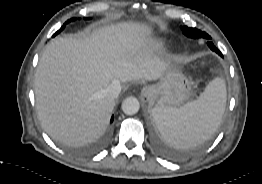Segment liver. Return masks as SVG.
Listing matches in <instances>:
<instances>
[{"instance_id":"6515ba94","label":"liver","mask_w":262,"mask_h":184,"mask_svg":"<svg viewBox=\"0 0 262 184\" xmlns=\"http://www.w3.org/2000/svg\"><path fill=\"white\" fill-rule=\"evenodd\" d=\"M151 29L120 22L81 38L58 37L45 48L35 74L39 120L47 134L68 145H84L107 129L115 98L112 83L163 77L168 64L146 52Z\"/></svg>"}]
</instances>
